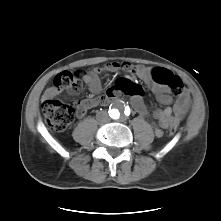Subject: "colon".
<instances>
[{
	"label": "colon",
	"instance_id": "5ec220e1",
	"mask_svg": "<svg viewBox=\"0 0 221 221\" xmlns=\"http://www.w3.org/2000/svg\"><path fill=\"white\" fill-rule=\"evenodd\" d=\"M152 75L156 82L167 86L173 93L177 95L182 93L183 83L181 79L171 72L164 69H155L152 71ZM51 89L52 93L46 95L43 99V112L50 129L54 132H62L72 122L75 110L70 103L62 102L56 99V96L63 90L77 92L79 89L78 76L69 71L60 72L55 76ZM123 91L129 96H143L145 94L144 89L133 82L128 83ZM176 130V127L172 126L170 134L174 135Z\"/></svg>",
	"mask_w": 221,
	"mask_h": 221
}]
</instances>
